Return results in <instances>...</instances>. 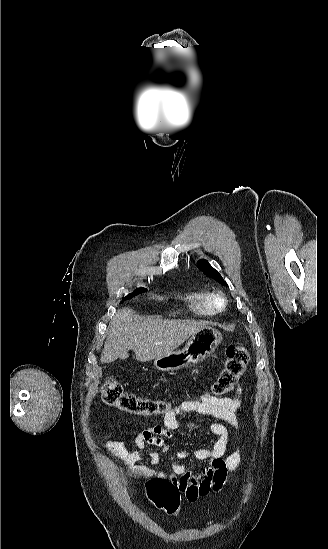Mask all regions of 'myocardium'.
Here are the masks:
<instances>
[{
    "mask_svg": "<svg viewBox=\"0 0 328 549\" xmlns=\"http://www.w3.org/2000/svg\"><path fill=\"white\" fill-rule=\"evenodd\" d=\"M213 308L216 313L222 312L227 308L228 299L222 292L212 294Z\"/></svg>",
    "mask_w": 328,
    "mask_h": 549,
    "instance_id": "myocardium-1",
    "label": "myocardium"
}]
</instances>
